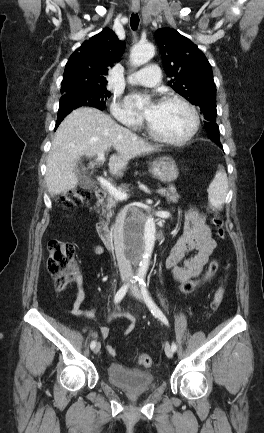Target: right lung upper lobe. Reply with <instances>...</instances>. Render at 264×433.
<instances>
[{
  "label": "right lung upper lobe",
  "mask_w": 264,
  "mask_h": 433,
  "mask_svg": "<svg viewBox=\"0 0 264 433\" xmlns=\"http://www.w3.org/2000/svg\"><path fill=\"white\" fill-rule=\"evenodd\" d=\"M124 50L125 44L109 28L86 40L65 66L61 93L106 86L109 67Z\"/></svg>",
  "instance_id": "1"
}]
</instances>
